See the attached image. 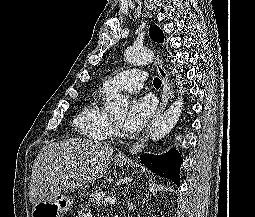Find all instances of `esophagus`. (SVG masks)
<instances>
[{"label":"esophagus","instance_id":"obj_1","mask_svg":"<svg viewBox=\"0 0 255 217\" xmlns=\"http://www.w3.org/2000/svg\"><path fill=\"white\" fill-rule=\"evenodd\" d=\"M154 65L155 68L162 80V97L160 100V104L158 107L157 112L155 113L152 121L150 122L149 126L147 127V129L145 130V132L142 134V136L139 138V140L129 149V154H137L140 151H142L148 143V137H149V131L153 125V123L161 116V114L163 113V111L165 110L168 100H169V96H170V81H169V77L168 74L165 70V68L162 65L161 60L159 59V57L157 56L154 60ZM118 157L126 159L127 155L124 153H119Z\"/></svg>","mask_w":255,"mask_h":217}]
</instances>
